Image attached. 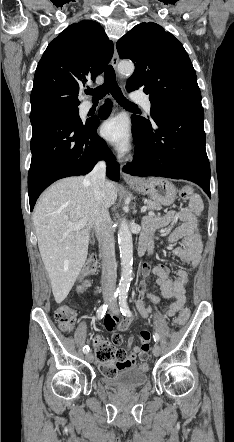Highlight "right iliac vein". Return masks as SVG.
Masks as SVG:
<instances>
[{
  "mask_svg": "<svg viewBox=\"0 0 234 442\" xmlns=\"http://www.w3.org/2000/svg\"><path fill=\"white\" fill-rule=\"evenodd\" d=\"M86 359H87L88 362H92L93 359H94L93 354L90 353V352L87 353V354H86Z\"/></svg>",
  "mask_w": 234,
  "mask_h": 442,
  "instance_id": "63e3f726",
  "label": "right iliac vein"
}]
</instances>
